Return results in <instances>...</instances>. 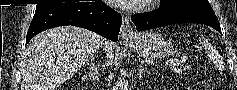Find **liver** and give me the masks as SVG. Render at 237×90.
Segmentation results:
<instances>
[{
    "label": "liver",
    "instance_id": "liver-1",
    "mask_svg": "<svg viewBox=\"0 0 237 90\" xmlns=\"http://www.w3.org/2000/svg\"><path fill=\"white\" fill-rule=\"evenodd\" d=\"M99 48L113 60L114 44L95 32L62 26L37 34L27 44L22 62V90H57L75 76Z\"/></svg>",
    "mask_w": 237,
    "mask_h": 90
}]
</instances>
